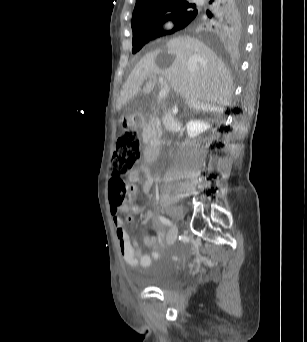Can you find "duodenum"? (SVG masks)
<instances>
[{"label": "duodenum", "mask_w": 307, "mask_h": 342, "mask_svg": "<svg viewBox=\"0 0 307 342\" xmlns=\"http://www.w3.org/2000/svg\"><path fill=\"white\" fill-rule=\"evenodd\" d=\"M144 121L148 123L150 120L142 116L137 117H126L124 122L125 128H132L133 126L137 129H142L144 127ZM149 127L152 125L150 122L147 124ZM160 142L157 139H153L152 143L146 146L143 150V157L145 162H150L158 153Z\"/></svg>", "instance_id": "1"}]
</instances>
